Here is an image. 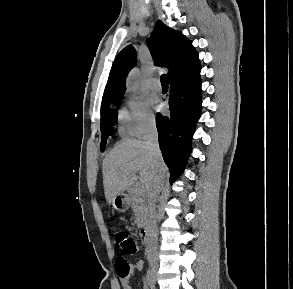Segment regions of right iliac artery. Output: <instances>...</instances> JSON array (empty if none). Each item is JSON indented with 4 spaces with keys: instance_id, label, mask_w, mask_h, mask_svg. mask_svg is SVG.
<instances>
[{
    "instance_id": "right-iliac-artery-1",
    "label": "right iliac artery",
    "mask_w": 293,
    "mask_h": 289,
    "mask_svg": "<svg viewBox=\"0 0 293 289\" xmlns=\"http://www.w3.org/2000/svg\"><path fill=\"white\" fill-rule=\"evenodd\" d=\"M146 280H147V283L149 284V285H153V280H152V272H151V270H148L147 271V274H146Z\"/></svg>"
}]
</instances>
